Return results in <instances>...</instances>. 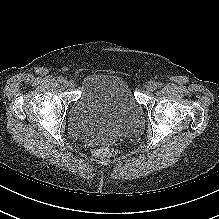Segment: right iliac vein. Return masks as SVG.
I'll return each mask as SVG.
<instances>
[{"label":"right iliac vein","instance_id":"1","mask_svg":"<svg viewBox=\"0 0 219 219\" xmlns=\"http://www.w3.org/2000/svg\"><path fill=\"white\" fill-rule=\"evenodd\" d=\"M63 84L66 87H74L75 86V82L73 80L64 79Z\"/></svg>","mask_w":219,"mask_h":219}]
</instances>
